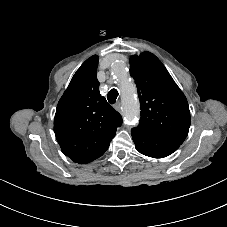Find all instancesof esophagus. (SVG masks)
<instances>
[{"label": "esophagus", "mask_w": 227, "mask_h": 227, "mask_svg": "<svg viewBox=\"0 0 227 227\" xmlns=\"http://www.w3.org/2000/svg\"><path fill=\"white\" fill-rule=\"evenodd\" d=\"M114 108L116 111L118 112H121V104L119 102H117L115 105H114Z\"/></svg>", "instance_id": "esophagus-1"}]
</instances>
